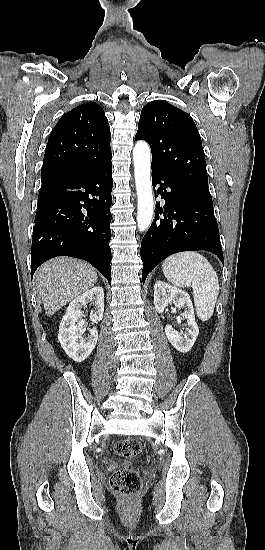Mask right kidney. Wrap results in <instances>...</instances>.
I'll use <instances>...</instances> for the list:
<instances>
[{"label":"right kidney","instance_id":"obj_1","mask_svg":"<svg viewBox=\"0 0 265 550\" xmlns=\"http://www.w3.org/2000/svg\"><path fill=\"white\" fill-rule=\"evenodd\" d=\"M88 303H93L94 306L90 321L93 324L101 321L104 312V291L102 287L97 286L87 290L69 304L59 326L58 340L65 353L76 362H83L91 354L98 340L96 327L90 330L88 336L82 337L87 327L82 308H86Z\"/></svg>","mask_w":265,"mask_h":550}]
</instances>
